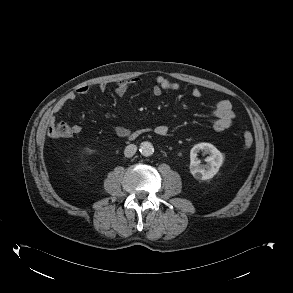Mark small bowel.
I'll return each mask as SVG.
<instances>
[{
    "label": "small bowel",
    "mask_w": 293,
    "mask_h": 293,
    "mask_svg": "<svg viewBox=\"0 0 293 293\" xmlns=\"http://www.w3.org/2000/svg\"><path fill=\"white\" fill-rule=\"evenodd\" d=\"M139 83V78L119 81L115 86V93L118 96H123L129 90L130 87L136 86ZM97 88L99 91H105L107 85L105 83H100L98 84ZM179 89V83L171 81L170 79L162 75H159L155 78V82L150 89V94L153 97H157L161 95L164 91H178ZM89 91V86H81L75 91L68 93L53 107L51 111L50 122H53L54 115L59 113L68 102L74 101L78 96L85 95ZM191 93L194 97H200L202 95V92L198 87H194ZM212 115L214 117L213 128L217 132H222L228 129L232 125L233 120L235 118V114L233 112L230 101L225 99H221L216 102L212 110ZM81 131L82 127L78 124H75L70 128V133L67 136L77 135L81 133ZM154 131L158 135L165 136L168 134L169 128L165 124H160L155 127ZM115 133L119 137H126L130 134V131L125 127L117 126L115 127Z\"/></svg>",
    "instance_id": "c3829d8e"
}]
</instances>
